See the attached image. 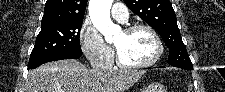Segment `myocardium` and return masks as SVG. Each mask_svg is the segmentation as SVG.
<instances>
[{
	"label": "myocardium",
	"mask_w": 225,
	"mask_h": 92,
	"mask_svg": "<svg viewBox=\"0 0 225 92\" xmlns=\"http://www.w3.org/2000/svg\"><path fill=\"white\" fill-rule=\"evenodd\" d=\"M138 30H146L148 31L151 36L153 37L155 44H156V53L153 56V58H151L150 60L144 62V63H126L123 58L121 57V55L119 54L118 50H117V64L125 69H144V68H148L152 65H154L162 56L163 51H164V46H163V42L159 36V34L157 33V31L151 27L150 25L147 24H142V23H136L133 25L128 26L124 32L125 33H132Z\"/></svg>",
	"instance_id": "1"
}]
</instances>
